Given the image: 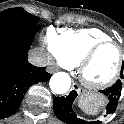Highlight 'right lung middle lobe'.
<instances>
[{"instance_id":"1","label":"right lung middle lobe","mask_w":124,"mask_h":124,"mask_svg":"<svg viewBox=\"0 0 124 124\" xmlns=\"http://www.w3.org/2000/svg\"><path fill=\"white\" fill-rule=\"evenodd\" d=\"M36 16L22 8H9L0 12V27H24L37 24Z\"/></svg>"}]
</instances>
